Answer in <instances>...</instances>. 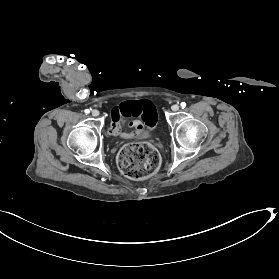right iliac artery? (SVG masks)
<instances>
[{
    "label": "right iliac artery",
    "mask_w": 279,
    "mask_h": 279,
    "mask_svg": "<svg viewBox=\"0 0 279 279\" xmlns=\"http://www.w3.org/2000/svg\"><path fill=\"white\" fill-rule=\"evenodd\" d=\"M85 113H86V114H89V113H90V110H89V109H86V110H85Z\"/></svg>",
    "instance_id": "1"
}]
</instances>
